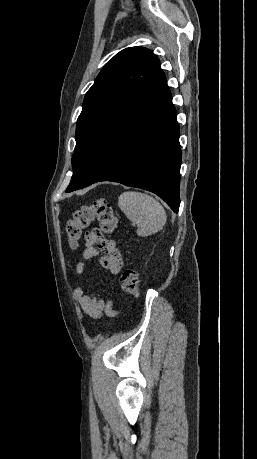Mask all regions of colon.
<instances>
[{
    "label": "colon",
    "instance_id": "colon-1",
    "mask_svg": "<svg viewBox=\"0 0 257 459\" xmlns=\"http://www.w3.org/2000/svg\"><path fill=\"white\" fill-rule=\"evenodd\" d=\"M95 220L99 221L101 230L105 234H111L116 229L117 218L107 199H97L91 205L83 206L73 213L72 219L66 224L67 240L71 248L77 247L83 230ZM119 281L125 293L131 295L139 293V277L134 270H125Z\"/></svg>",
    "mask_w": 257,
    "mask_h": 459
}]
</instances>
